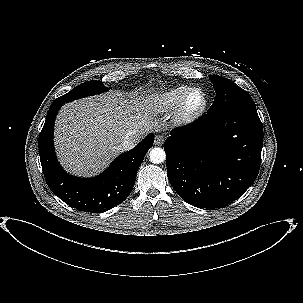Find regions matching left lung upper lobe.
I'll use <instances>...</instances> for the list:
<instances>
[{
  "mask_svg": "<svg viewBox=\"0 0 303 303\" xmlns=\"http://www.w3.org/2000/svg\"><path fill=\"white\" fill-rule=\"evenodd\" d=\"M209 78L213 83L216 96L208 113L256 107L250 94L231 80L218 75H211Z\"/></svg>",
  "mask_w": 303,
  "mask_h": 303,
  "instance_id": "left-lung-upper-lobe-1",
  "label": "left lung upper lobe"
}]
</instances>
